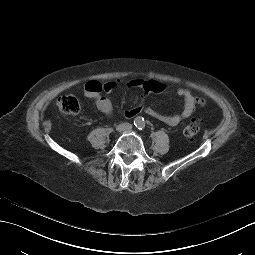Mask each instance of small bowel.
I'll return each instance as SVG.
<instances>
[{
	"mask_svg": "<svg viewBox=\"0 0 255 255\" xmlns=\"http://www.w3.org/2000/svg\"><path fill=\"white\" fill-rule=\"evenodd\" d=\"M122 86L126 88H138L143 91L144 96H147L150 93H161L165 90L164 84L152 79H131L127 81L113 80L104 84L91 80L85 84L83 94L85 97L94 100L95 105L100 112L107 117H111L113 114V105L103 93L111 92ZM176 94L183 99V110L181 113L163 115L156 112L151 107L142 104L125 111V116L127 118H133L139 113L144 112L148 116L153 117L162 123L169 126H175L182 120L188 118L198 105L203 106L205 104L204 100L195 97L192 91L187 88H177Z\"/></svg>",
	"mask_w": 255,
	"mask_h": 255,
	"instance_id": "small-bowel-1",
	"label": "small bowel"
}]
</instances>
